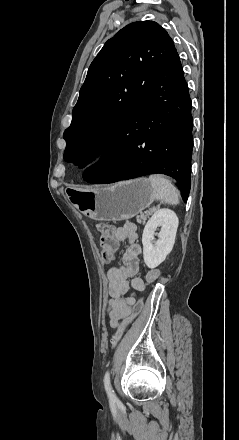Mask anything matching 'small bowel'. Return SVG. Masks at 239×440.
I'll return each instance as SVG.
<instances>
[{
    "label": "small bowel",
    "mask_w": 239,
    "mask_h": 440,
    "mask_svg": "<svg viewBox=\"0 0 239 440\" xmlns=\"http://www.w3.org/2000/svg\"><path fill=\"white\" fill-rule=\"evenodd\" d=\"M137 239V227L134 224L128 223L115 229L116 246L109 260H114V254L120 241H126L127 245L123 253V264L111 265L107 271L108 294L110 297L107 317L111 328L117 327L119 320L131 313L135 296L130 290L140 291L144 289V281L137 276L139 257L142 252Z\"/></svg>",
    "instance_id": "c3829d8e"
}]
</instances>
